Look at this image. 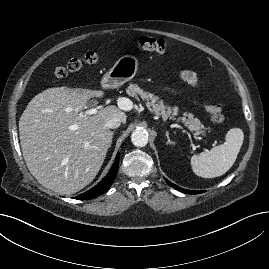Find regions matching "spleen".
Listing matches in <instances>:
<instances>
[{
  "mask_svg": "<svg viewBox=\"0 0 269 269\" xmlns=\"http://www.w3.org/2000/svg\"><path fill=\"white\" fill-rule=\"evenodd\" d=\"M243 140L244 133L240 128L230 129L223 144L191 157L194 173L203 178H215L225 174L235 163Z\"/></svg>",
  "mask_w": 269,
  "mask_h": 269,
  "instance_id": "1",
  "label": "spleen"
}]
</instances>
